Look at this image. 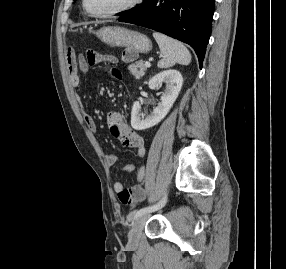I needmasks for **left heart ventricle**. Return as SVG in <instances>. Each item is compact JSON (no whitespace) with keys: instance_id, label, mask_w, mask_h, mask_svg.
Segmentation results:
<instances>
[{"instance_id":"b2bd125f","label":"left heart ventricle","mask_w":286,"mask_h":269,"mask_svg":"<svg viewBox=\"0 0 286 269\" xmlns=\"http://www.w3.org/2000/svg\"><path fill=\"white\" fill-rule=\"evenodd\" d=\"M129 0H87L92 13H105L125 5Z\"/></svg>"}]
</instances>
